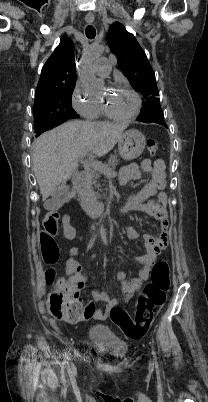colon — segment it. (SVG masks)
<instances>
[{
	"label": "colon",
	"instance_id": "1",
	"mask_svg": "<svg viewBox=\"0 0 208 402\" xmlns=\"http://www.w3.org/2000/svg\"><path fill=\"white\" fill-rule=\"evenodd\" d=\"M146 148L149 153L157 151V143L154 140L146 142ZM46 232L41 233V244L39 253L44 257L46 265H58L60 248L57 241H54L59 229L58 218L49 213L43 221ZM66 238H75V229L65 230ZM74 253L73 249L69 250ZM45 278L47 281H53L58 286H54L52 292H49L46 300V307L50 308V314H64L68 319L78 317H89L97 308L92 301H84L82 297L85 294L83 288L74 289V283L70 282L68 277H58L54 267L46 270ZM170 286V271L166 260L156 262L151 271V279L145 285L136 301V313L132 319L122 305H113L109 307V312L113 323L129 339H140L145 336L151 327L157 309L162 307L166 301V293ZM75 292L78 297H75Z\"/></svg>",
	"mask_w": 208,
	"mask_h": 402
}]
</instances>
